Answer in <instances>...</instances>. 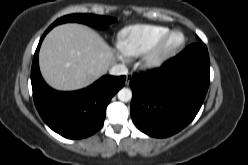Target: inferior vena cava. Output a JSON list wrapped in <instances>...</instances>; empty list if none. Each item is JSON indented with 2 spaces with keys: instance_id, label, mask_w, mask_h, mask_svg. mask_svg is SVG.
I'll return each instance as SVG.
<instances>
[{
  "instance_id": "inferior-vena-cava-1",
  "label": "inferior vena cava",
  "mask_w": 248,
  "mask_h": 165,
  "mask_svg": "<svg viewBox=\"0 0 248 165\" xmlns=\"http://www.w3.org/2000/svg\"><path fill=\"white\" fill-rule=\"evenodd\" d=\"M127 73H128V69L123 64L114 65L109 70V74L114 76L126 75Z\"/></svg>"
}]
</instances>
